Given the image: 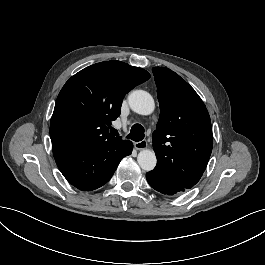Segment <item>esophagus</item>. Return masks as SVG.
Here are the masks:
<instances>
[{"label":"esophagus","mask_w":265,"mask_h":265,"mask_svg":"<svg viewBox=\"0 0 265 265\" xmlns=\"http://www.w3.org/2000/svg\"><path fill=\"white\" fill-rule=\"evenodd\" d=\"M147 141L146 140H142V141H139V142H135L134 143V146L137 150H142V149H145L147 148Z\"/></svg>","instance_id":"1"}]
</instances>
